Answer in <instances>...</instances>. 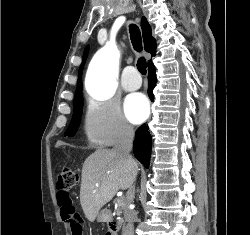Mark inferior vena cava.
Returning a JSON list of instances; mask_svg holds the SVG:
<instances>
[{
  "label": "inferior vena cava",
  "mask_w": 250,
  "mask_h": 235,
  "mask_svg": "<svg viewBox=\"0 0 250 235\" xmlns=\"http://www.w3.org/2000/svg\"><path fill=\"white\" fill-rule=\"evenodd\" d=\"M134 139V130L127 123L121 124L119 136L114 147L115 153L127 164H131L133 159L130 155ZM135 187L134 183L129 187L127 192L128 203L124 209V217L127 222L122 235H134V222L137 221V214L129 207V204L134 198Z\"/></svg>",
  "instance_id": "1"
}]
</instances>
